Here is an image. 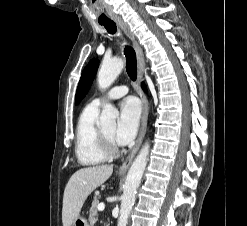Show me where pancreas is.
<instances>
[{
    "mask_svg": "<svg viewBox=\"0 0 247 226\" xmlns=\"http://www.w3.org/2000/svg\"><path fill=\"white\" fill-rule=\"evenodd\" d=\"M99 204V200L97 197H94L92 206L90 208V214H89V222L93 226L97 220H98V212H97V207Z\"/></svg>",
    "mask_w": 247,
    "mask_h": 226,
    "instance_id": "1",
    "label": "pancreas"
}]
</instances>
